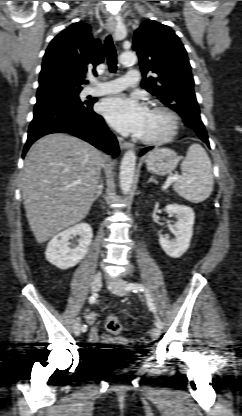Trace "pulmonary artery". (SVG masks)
<instances>
[{"label":"pulmonary artery","mask_w":242,"mask_h":416,"mask_svg":"<svg viewBox=\"0 0 242 416\" xmlns=\"http://www.w3.org/2000/svg\"><path fill=\"white\" fill-rule=\"evenodd\" d=\"M139 81V71L129 69L124 77L116 78L104 82L101 86H95L90 91L91 95H109L115 94L128 86H136Z\"/></svg>","instance_id":"obj_1"}]
</instances>
